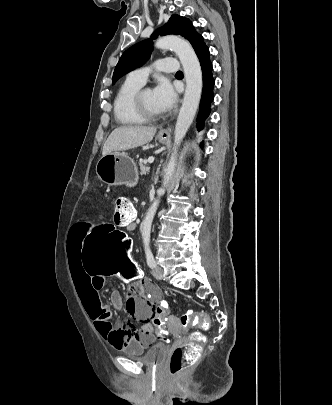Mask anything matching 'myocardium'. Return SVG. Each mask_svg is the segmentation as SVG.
<instances>
[{"mask_svg": "<svg viewBox=\"0 0 332 405\" xmlns=\"http://www.w3.org/2000/svg\"><path fill=\"white\" fill-rule=\"evenodd\" d=\"M147 90H149V88L146 87L140 88L134 96L133 104L136 113L141 119H143L145 122H152L158 120L161 117V115L153 114L147 109L143 99L144 93Z\"/></svg>", "mask_w": 332, "mask_h": 405, "instance_id": "obj_1", "label": "myocardium"}]
</instances>
